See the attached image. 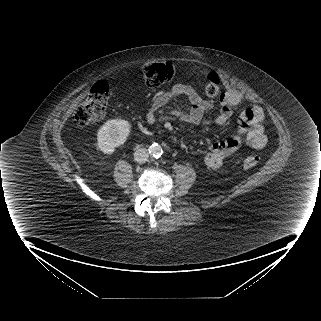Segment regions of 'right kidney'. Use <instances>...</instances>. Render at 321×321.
<instances>
[{
	"label": "right kidney",
	"instance_id": "obj_1",
	"mask_svg": "<svg viewBox=\"0 0 321 321\" xmlns=\"http://www.w3.org/2000/svg\"><path fill=\"white\" fill-rule=\"evenodd\" d=\"M131 125L124 119L108 120L97 132V147L104 154H112L127 140Z\"/></svg>",
	"mask_w": 321,
	"mask_h": 321
}]
</instances>
